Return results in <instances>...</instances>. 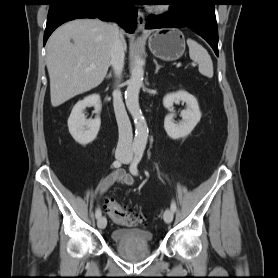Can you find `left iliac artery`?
Listing matches in <instances>:
<instances>
[{
	"label": "left iliac artery",
	"mask_w": 278,
	"mask_h": 278,
	"mask_svg": "<svg viewBox=\"0 0 278 278\" xmlns=\"http://www.w3.org/2000/svg\"><path fill=\"white\" fill-rule=\"evenodd\" d=\"M143 149H138L136 152H135V157H134V160L130 166V172L133 174V175H138V169H137V166L139 164V162L141 161L142 159V156H143ZM177 209L176 207V203L175 201H172L171 203V210L173 212H175Z\"/></svg>",
	"instance_id": "left-iliac-artery-1"
}]
</instances>
